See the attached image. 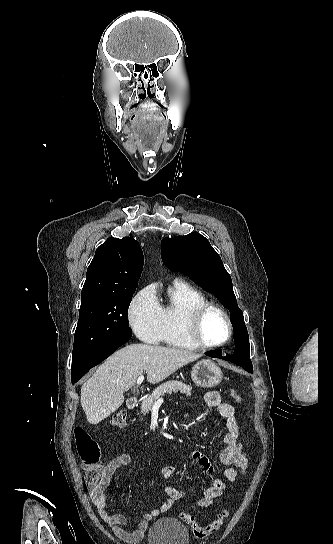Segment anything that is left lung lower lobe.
I'll use <instances>...</instances> for the list:
<instances>
[{
    "mask_svg": "<svg viewBox=\"0 0 333 544\" xmlns=\"http://www.w3.org/2000/svg\"><path fill=\"white\" fill-rule=\"evenodd\" d=\"M236 340L237 339V336H236ZM206 355L210 356V357H214V358H222L224 360H227V361H230V362H233L239 366H241L243 369H245L247 372H250V373H253V368H252V365H244V364H241V363H238L236 361H234V357L231 355H226V356H222V351L221 350H216V351H209V352H206L205 353Z\"/></svg>",
    "mask_w": 333,
    "mask_h": 544,
    "instance_id": "0a47b994",
    "label": "left lung lower lobe"
}]
</instances>
